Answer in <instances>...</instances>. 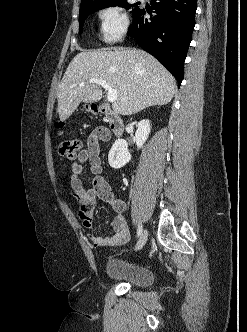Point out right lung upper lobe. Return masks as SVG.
<instances>
[{"label": "right lung upper lobe", "mask_w": 247, "mask_h": 332, "mask_svg": "<svg viewBox=\"0 0 247 332\" xmlns=\"http://www.w3.org/2000/svg\"><path fill=\"white\" fill-rule=\"evenodd\" d=\"M104 1H107V0H82L80 8L87 7L89 5H93V4L104 2Z\"/></svg>", "instance_id": "obj_1"}]
</instances>
